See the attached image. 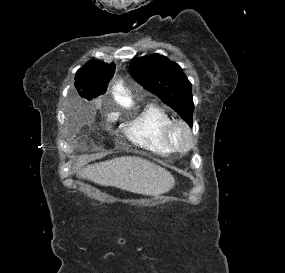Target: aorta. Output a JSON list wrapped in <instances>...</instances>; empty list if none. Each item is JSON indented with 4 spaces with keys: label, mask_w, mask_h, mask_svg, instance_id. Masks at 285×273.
<instances>
[{
    "label": "aorta",
    "mask_w": 285,
    "mask_h": 273,
    "mask_svg": "<svg viewBox=\"0 0 285 273\" xmlns=\"http://www.w3.org/2000/svg\"><path fill=\"white\" fill-rule=\"evenodd\" d=\"M114 98L116 102L123 107L130 108L133 105L132 99L128 96L121 84L115 87Z\"/></svg>",
    "instance_id": "762f6f07"
}]
</instances>
